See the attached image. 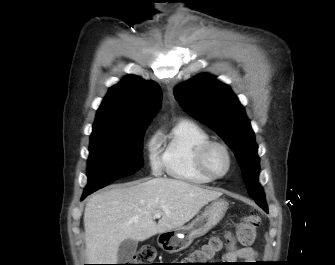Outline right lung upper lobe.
I'll list each match as a JSON object with an SVG mask.
<instances>
[{
    "label": "right lung upper lobe",
    "instance_id": "1",
    "mask_svg": "<svg viewBox=\"0 0 335 265\" xmlns=\"http://www.w3.org/2000/svg\"><path fill=\"white\" fill-rule=\"evenodd\" d=\"M160 86L137 76H126L109 89L97 111L93 133L120 132L148 124L159 109Z\"/></svg>",
    "mask_w": 335,
    "mask_h": 265
}]
</instances>
